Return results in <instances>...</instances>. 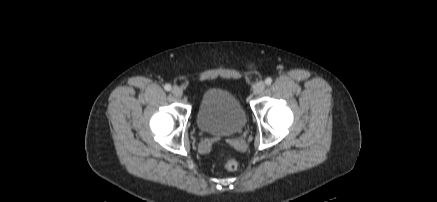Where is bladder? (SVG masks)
I'll return each instance as SVG.
<instances>
[{
	"instance_id": "1",
	"label": "bladder",
	"mask_w": 437,
	"mask_h": 202,
	"mask_svg": "<svg viewBox=\"0 0 437 202\" xmlns=\"http://www.w3.org/2000/svg\"><path fill=\"white\" fill-rule=\"evenodd\" d=\"M195 121L204 133L232 136L243 130L247 116L233 94L222 88H211L201 97Z\"/></svg>"
}]
</instances>
